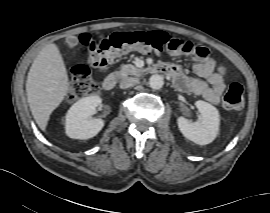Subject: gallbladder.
Returning a JSON list of instances; mask_svg holds the SVG:
<instances>
[{"mask_svg":"<svg viewBox=\"0 0 270 213\" xmlns=\"http://www.w3.org/2000/svg\"><path fill=\"white\" fill-rule=\"evenodd\" d=\"M66 42L70 47H74V46L77 45L76 37H69V38L66 39Z\"/></svg>","mask_w":270,"mask_h":213,"instance_id":"obj_1","label":"gallbladder"}]
</instances>
